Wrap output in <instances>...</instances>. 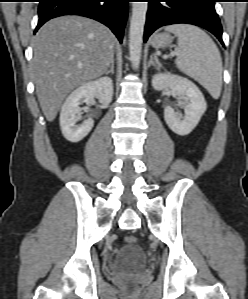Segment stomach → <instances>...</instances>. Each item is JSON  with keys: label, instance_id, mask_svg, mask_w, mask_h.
<instances>
[{"label": "stomach", "instance_id": "obj_1", "mask_svg": "<svg viewBox=\"0 0 248 299\" xmlns=\"http://www.w3.org/2000/svg\"><path fill=\"white\" fill-rule=\"evenodd\" d=\"M173 41V37L168 33H158L156 34L151 41V44L154 48H164L169 46Z\"/></svg>", "mask_w": 248, "mask_h": 299}]
</instances>
